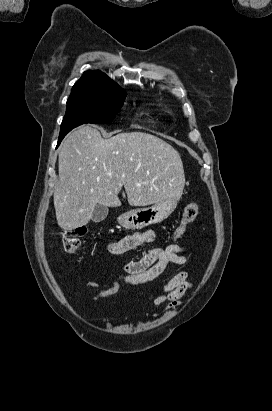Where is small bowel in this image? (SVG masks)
<instances>
[{
  "label": "small bowel",
  "mask_w": 272,
  "mask_h": 411,
  "mask_svg": "<svg viewBox=\"0 0 272 411\" xmlns=\"http://www.w3.org/2000/svg\"><path fill=\"white\" fill-rule=\"evenodd\" d=\"M156 238L153 230L126 235L122 239L111 242L108 251L111 254L119 255L135 250L152 243ZM185 247L178 244H171L165 248H153L137 260H132L125 264L124 269L127 275L121 277L125 283L130 285L144 284L168 276V267L172 264L183 265L186 257L183 255ZM101 284L96 281L85 283L86 288H99ZM194 285L188 280V274L184 271L170 276L161 286L160 293L154 299L155 311L153 316H158L161 312L174 309L181 305V299L185 297ZM120 285L114 281L111 286L100 289L93 297L95 302L116 294ZM168 301L167 305H164Z\"/></svg>",
  "instance_id": "small-bowel-1"
}]
</instances>
